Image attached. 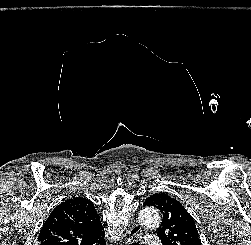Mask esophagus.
<instances>
[{
  "mask_svg": "<svg viewBox=\"0 0 251 245\" xmlns=\"http://www.w3.org/2000/svg\"><path fill=\"white\" fill-rule=\"evenodd\" d=\"M127 233L128 237L126 239L125 245H128L132 240H134L140 235L141 227L138 224H133Z\"/></svg>",
  "mask_w": 251,
  "mask_h": 245,
  "instance_id": "34e87169",
  "label": "esophagus"
}]
</instances>
